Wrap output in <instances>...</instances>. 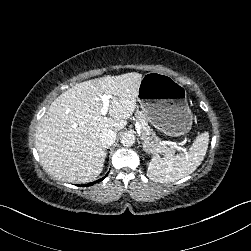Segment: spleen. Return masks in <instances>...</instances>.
Returning <instances> with one entry per match:
<instances>
[{
    "label": "spleen",
    "mask_w": 251,
    "mask_h": 251,
    "mask_svg": "<svg viewBox=\"0 0 251 251\" xmlns=\"http://www.w3.org/2000/svg\"><path fill=\"white\" fill-rule=\"evenodd\" d=\"M208 147V134L198 135L189 151L172 155L165 154L162 158L154 156L148 168V177L158 183L179 180L191 174L204 159Z\"/></svg>",
    "instance_id": "spleen-1"
}]
</instances>
